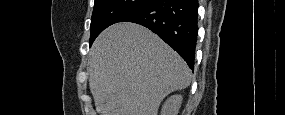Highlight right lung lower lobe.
Listing matches in <instances>:
<instances>
[{
    "label": "right lung lower lobe",
    "instance_id": "right-lung-lower-lobe-1",
    "mask_svg": "<svg viewBox=\"0 0 285 115\" xmlns=\"http://www.w3.org/2000/svg\"><path fill=\"white\" fill-rule=\"evenodd\" d=\"M117 22H133L156 33L193 70L198 35V0H150Z\"/></svg>",
    "mask_w": 285,
    "mask_h": 115
}]
</instances>
